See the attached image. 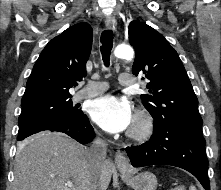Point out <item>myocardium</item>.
<instances>
[{
  "label": "myocardium",
  "mask_w": 221,
  "mask_h": 190,
  "mask_svg": "<svg viewBox=\"0 0 221 190\" xmlns=\"http://www.w3.org/2000/svg\"><path fill=\"white\" fill-rule=\"evenodd\" d=\"M154 131V121L152 116L145 110L136 113L132 127L128 133L131 140L142 142L147 140Z\"/></svg>",
  "instance_id": "obj_1"
}]
</instances>
